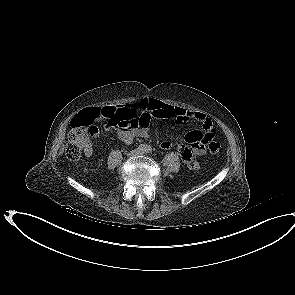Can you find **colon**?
I'll return each instance as SVG.
<instances>
[{
	"label": "colon",
	"mask_w": 295,
	"mask_h": 295,
	"mask_svg": "<svg viewBox=\"0 0 295 295\" xmlns=\"http://www.w3.org/2000/svg\"><path fill=\"white\" fill-rule=\"evenodd\" d=\"M93 110L95 111L96 109ZM91 111L80 114L72 120L65 149L66 156L71 161H77L81 158L82 152L89 147L91 138L96 134L97 127L94 125V115ZM95 115L111 120L113 118V111L111 107L99 108ZM119 126L136 128L138 122L125 119L119 123ZM214 135L215 131L213 129L208 131V149L211 155H218L220 146L213 140Z\"/></svg>",
	"instance_id": "colon-1"
}]
</instances>
